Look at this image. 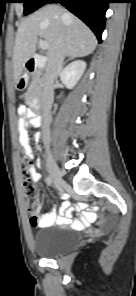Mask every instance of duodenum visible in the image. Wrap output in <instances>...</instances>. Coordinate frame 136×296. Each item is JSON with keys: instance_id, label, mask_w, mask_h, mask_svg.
I'll return each mask as SVG.
<instances>
[{"instance_id": "1", "label": "duodenum", "mask_w": 136, "mask_h": 296, "mask_svg": "<svg viewBox=\"0 0 136 296\" xmlns=\"http://www.w3.org/2000/svg\"><path fill=\"white\" fill-rule=\"evenodd\" d=\"M45 60L46 58L42 55H34L30 57L25 64L27 73H33L36 70L43 68L45 65ZM24 81L25 78H22V82ZM41 124L42 120L39 117H36L34 126H40Z\"/></svg>"}]
</instances>
